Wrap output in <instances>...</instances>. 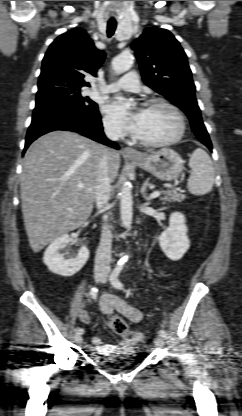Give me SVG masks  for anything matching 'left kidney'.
Instances as JSON below:
<instances>
[{
	"label": "left kidney",
	"mask_w": 242,
	"mask_h": 416,
	"mask_svg": "<svg viewBox=\"0 0 242 416\" xmlns=\"http://www.w3.org/2000/svg\"><path fill=\"white\" fill-rule=\"evenodd\" d=\"M185 222V216L182 213H172L169 218V227L159 236L162 251L173 261L181 259L190 247Z\"/></svg>",
	"instance_id": "obj_1"
}]
</instances>
